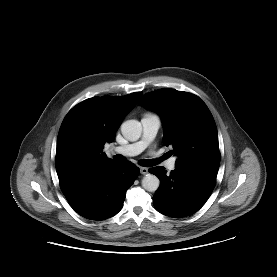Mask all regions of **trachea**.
<instances>
[{
  "mask_svg": "<svg viewBox=\"0 0 277 277\" xmlns=\"http://www.w3.org/2000/svg\"><path fill=\"white\" fill-rule=\"evenodd\" d=\"M114 160L118 163H122L124 162V157L117 154L115 157H114ZM140 165L142 166H145V167H151V166H155L158 161L157 160H148V159H143V160H140L139 161Z\"/></svg>",
  "mask_w": 277,
  "mask_h": 277,
  "instance_id": "3493384b",
  "label": "trachea"
}]
</instances>
